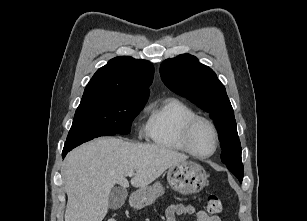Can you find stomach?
<instances>
[{
    "instance_id": "0dacf381",
    "label": "stomach",
    "mask_w": 307,
    "mask_h": 221,
    "mask_svg": "<svg viewBox=\"0 0 307 221\" xmlns=\"http://www.w3.org/2000/svg\"><path fill=\"white\" fill-rule=\"evenodd\" d=\"M167 180L171 188L181 194H193L202 190L207 184L204 168L193 161H183L169 168ZM163 193L160 182L139 188L131 201L136 208L152 204Z\"/></svg>"
}]
</instances>
